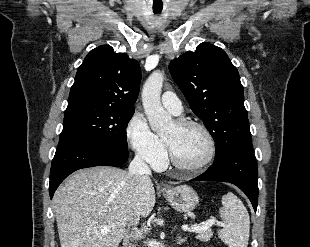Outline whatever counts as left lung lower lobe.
<instances>
[{
    "mask_svg": "<svg viewBox=\"0 0 310 247\" xmlns=\"http://www.w3.org/2000/svg\"><path fill=\"white\" fill-rule=\"evenodd\" d=\"M191 181H221L238 186L250 199L254 210L258 203V174L252 143L241 145Z\"/></svg>",
    "mask_w": 310,
    "mask_h": 247,
    "instance_id": "left-lung-lower-lobe-1",
    "label": "left lung lower lobe"
}]
</instances>
